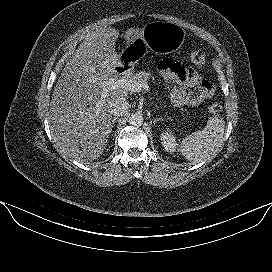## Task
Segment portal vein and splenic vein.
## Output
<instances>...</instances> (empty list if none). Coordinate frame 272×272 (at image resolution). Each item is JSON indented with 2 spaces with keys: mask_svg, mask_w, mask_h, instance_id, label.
I'll list each match as a JSON object with an SVG mask.
<instances>
[{
  "mask_svg": "<svg viewBox=\"0 0 272 272\" xmlns=\"http://www.w3.org/2000/svg\"><path fill=\"white\" fill-rule=\"evenodd\" d=\"M102 86L104 87V92L102 93L101 98H106L108 89H116L121 88L127 91L131 92H141V91H147L149 92V86L145 83H139L135 82L129 79H116V78H110L107 81L102 82Z\"/></svg>",
  "mask_w": 272,
  "mask_h": 272,
  "instance_id": "obj_1",
  "label": "portal vein and splenic vein"
}]
</instances>
